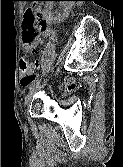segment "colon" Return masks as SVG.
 Returning <instances> with one entry per match:
<instances>
[{
    "label": "colon",
    "mask_w": 123,
    "mask_h": 167,
    "mask_svg": "<svg viewBox=\"0 0 123 167\" xmlns=\"http://www.w3.org/2000/svg\"><path fill=\"white\" fill-rule=\"evenodd\" d=\"M22 28V41L27 52L25 58L27 60L32 54L34 46L43 37L46 30V24L42 19L39 8L35 7L26 11Z\"/></svg>",
    "instance_id": "colon-1"
}]
</instances>
